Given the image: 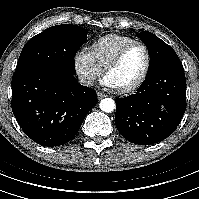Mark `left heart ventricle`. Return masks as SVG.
Wrapping results in <instances>:
<instances>
[{"mask_svg": "<svg viewBox=\"0 0 199 199\" xmlns=\"http://www.w3.org/2000/svg\"><path fill=\"white\" fill-rule=\"evenodd\" d=\"M145 65V50L139 45L133 46L124 55L119 65L107 73L105 79L113 88L129 86L140 77Z\"/></svg>", "mask_w": 199, "mask_h": 199, "instance_id": "b2bd125f", "label": "left heart ventricle"}]
</instances>
